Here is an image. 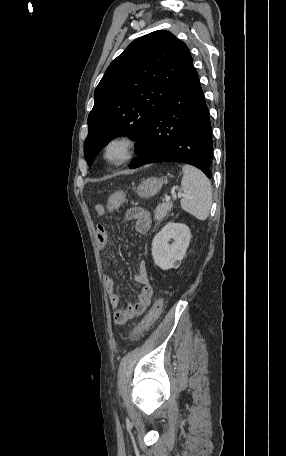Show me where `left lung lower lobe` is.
<instances>
[{
  "mask_svg": "<svg viewBox=\"0 0 286 456\" xmlns=\"http://www.w3.org/2000/svg\"><path fill=\"white\" fill-rule=\"evenodd\" d=\"M135 151L138 157L131 169L175 161L193 165L211 178L212 127L193 64L174 85Z\"/></svg>",
  "mask_w": 286,
  "mask_h": 456,
  "instance_id": "obj_1",
  "label": "left lung lower lobe"
}]
</instances>
